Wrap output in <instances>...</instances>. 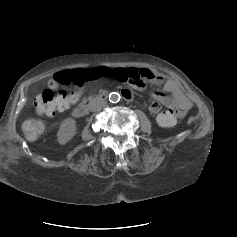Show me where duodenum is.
<instances>
[{
	"mask_svg": "<svg viewBox=\"0 0 237 237\" xmlns=\"http://www.w3.org/2000/svg\"><path fill=\"white\" fill-rule=\"evenodd\" d=\"M121 93L122 95L127 98V99H130L131 98V92L128 90V89H122L121 90ZM105 98V94L104 93H100L96 96H92V97H89L85 100H83L79 105L78 107L74 110V116L75 117H82L84 116L85 114L88 113L90 107L99 102V101H102L103 99Z\"/></svg>",
	"mask_w": 237,
	"mask_h": 237,
	"instance_id": "410a0bca",
	"label": "duodenum"
}]
</instances>
